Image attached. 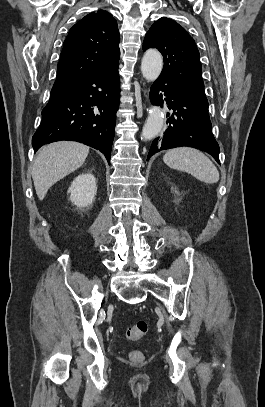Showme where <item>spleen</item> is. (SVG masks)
<instances>
[{"label": "spleen", "instance_id": "3e777b00", "mask_svg": "<svg viewBox=\"0 0 265 407\" xmlns=\"http://www.w3.org/2000/svg\"><path fill=\"white\" fill-rule=\"evenodd\" d=\"M169 167L190 173L198 180L213 184L219 180V171L201 151L190 147L169 150L163 157Z\"/></svg>", "mask_w": 265, "mask_h": 407}]
</instances>
